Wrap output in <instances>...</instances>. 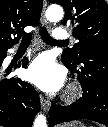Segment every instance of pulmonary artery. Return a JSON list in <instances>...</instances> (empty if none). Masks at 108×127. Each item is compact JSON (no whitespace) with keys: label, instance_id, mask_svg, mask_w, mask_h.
I'll return each instance as SVG.
<instances>
[{"label":"pulmonary artery","instance_id":"1","mask_svg":"<svg viewBox=\"0 0 108 127\" xmlns=\"http://www.w3.org/2000/svg\"><path fill=\"white\" fill-rule=\"evenodd\" d=\"M54 38L58 41H64L68 38V33L64 29L58 28L54 31Z\"/></svg>","mask_w":108,"mask_h":127}]
</instances>
